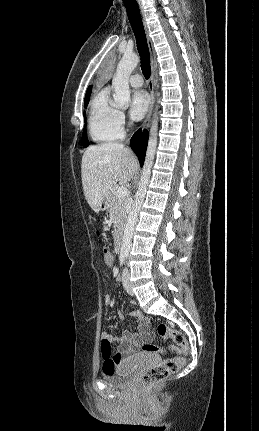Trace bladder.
<instances>
[{
    "label": "bladder",
    "mask_w": 259,
    "mask_h": 431,
    "mask_svg": "<svg viewBox=\"0 0 259 431\" xmlns=\"http://www.w3.org/2000/svg\"><path fill=\"white\" fill-rule=\"evenodd\" d=\"M138 364L136 362H130L120 365L116 370L112 372H106L102 374V378L105 382L113 386H124L131 379L137 369Z\"/></svg>",
    "instance_id": "1"
}]
</instances>
